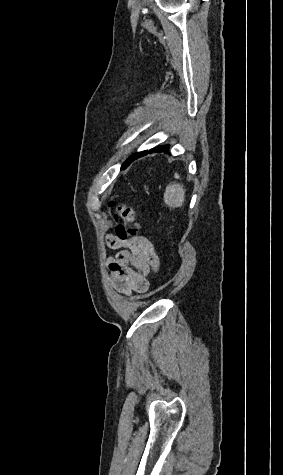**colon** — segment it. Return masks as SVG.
<instances>
[{
    "label": "colon",
    "instance_id": "obj_1",
    "mask_svg": "<svg viewBox=\"0 0 283 475\" xmlns=\"http://www.w3.org/2000/svg\"><path fill=\"white\" fill-rule=\"evenodd\" d=\"M114 221H119L116 227V235L119 241H126L128 238L135 236L136 216L133 208L126 205L114 206V211L111 214Z\"/></svg>",
    "mask_w": 283,
    "mask_h": 475
}]
</instances>
